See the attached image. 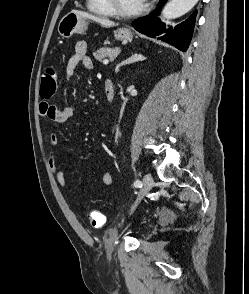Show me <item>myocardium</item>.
<instances>
[{
	"label": "myocardium",
	"instance_id": "obj_1",
	"mask_svg": "<svg viewBox=\"0 0 249 294\" xmlns=\"http://www.w3.org/2000/svg\"><path fill=\"white\" fill-rule=\"evenodd\" d=\"M105 1L108 7L113 12V14L117 16H121V17H134L143 13L146 9V6L143 4L140 8L136 10L126 11L119 6L118 0H105Z\"/></svg>",
	"mask_w": 249,
	"mask_h": 294
}]
</instances>
